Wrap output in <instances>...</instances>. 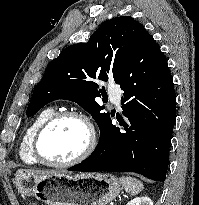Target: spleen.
Segmentation results:
<instances>
[{
  "instance_id": "obj_1",
  "label": "spleen",
  "mask_w": 199,
  "mask_h": 205,
  "mask_svg": "<svg viewBox=\"0 0 199 205\" xmlns=\"http://www.w3.org/2000/svg\"><path fill=\"white\" fill-rule=\"evenodd\" d=\"M119 181L126 192L131 195H137L144 188L143 183L136 178L122 176Z\"/></svg>"
}]
</instances>
